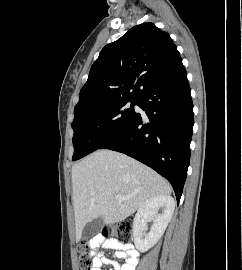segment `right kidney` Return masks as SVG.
<instances>
[{
    "label": "right kidney",
    "instance_id": "right-kidney-1",
    "mask_svg": "<svg viewBox=\"0 0 242 270\" xmlns=\"http://www.w3.org/2000/svg\"><path fill=\"white\" fill-rule=\"evenodd\" d=\"M162 208V213H158ZM175 208V201L169 195H158L146 200L138 209L133 222V236L136 248L145 252L153 247L163 235ZM147 219L153 220L148 233Z\"/></svg>",
    "mask_w": 242,
    "mask_h": 270
}]
</instances>
